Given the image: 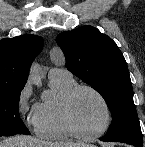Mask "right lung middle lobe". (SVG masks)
Masks as SVG:
<instances>
[{
    "label": "right lung middle lobe",
    "mask_w": 145,
    "mask_h": 147,
    "mask_svg": "<svg viewBox=\"0 0 145 147\" xmlns=\"http://www.w3.org/2000/svg\"><path fill=\"white\" fill-rule=\"evenodd\" d=\"M23 87L0 92V136L27 134L30 132L19 117V100Z\"/></svg>",
    "instance_id": "1"
}]
</instances>
